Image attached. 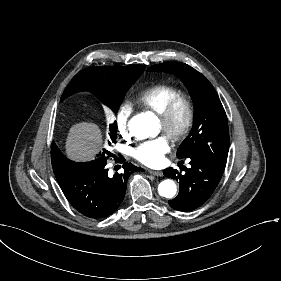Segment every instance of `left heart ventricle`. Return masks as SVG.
<instances>
[{
  "mask_svg": "<svg viewBox=\"0 0 281 281\" xmlns=\"http://www.w3.org/2000/svg\"><path fill=\"white\" fill-rule=\"evenodd\" d=\"M183 120H184V109L182 106H178L172 117V121H171L172 125L174 127H178L181 125ZM158 126H159V130H161V124L159 121H158Z\"/></svg>",
  "mask_w": 281,
  "mask_h": 281,
  "instance_id": "b2bd125f",
  "label": "left heart ventricle"
}]
</instances>
